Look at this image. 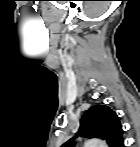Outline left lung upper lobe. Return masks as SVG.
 I'll use <instances>...</instances> for the list:
<instances>
[{
  "label": "left lung upper lobe",
  "mask_w": 140,
  "mask_h": 147,
  "mask_svg": "<svg viewBox=\"0 0 140 147\" xmlns=\"http://www.w3.org/2000/svg\"><path fill=\"white\" fill-rule=\"evenodd\" d=\"M101 138L110 147H124L123 129L117 114L108 106L96 105L85 112L80 122V129L76 136ZM74 146L73 139L67 141L63 147Z\"/></svg>",
  "instance_id": "left-lung-upper-lobe-1"
}]
</instances>
